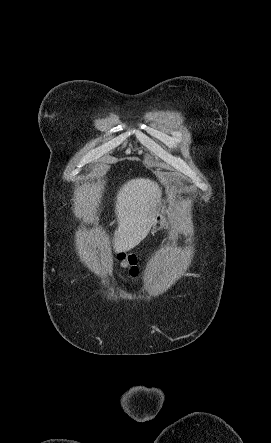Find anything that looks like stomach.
I'll list each match as a JSON object with an SVG mask.
<instances>
[{
  "instance_id": "0dacf381",
  "label": "stomach",
  "mask_w": 271,
  "mask_h": 443,
  "mask_svg": "<svg viewBox=\"0 0 271 443\" xmlns=\"http://www.w3.org/2000/svg\"><path fill=\"white\" fill-rule=\"evenodd\" d=\"M168 216L167 202L164 200L156 210L155 223H153L154 229H160V227L167 225L169 220Z\"/></svg>"
}]
</instances>
